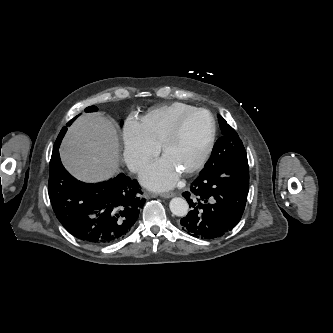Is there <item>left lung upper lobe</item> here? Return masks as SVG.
<instances>
[{"instance_id":"left-lung-upper-lobe-1","label":"left lung upper lobe","mask_w":333,"mask_h":333,"mask_svg":"<svg viewBox=\"0 0 333 333\" xmlns=\"http://www.w3.org/2000/svg\"><path fill=\"white\" fill-rule=\"evenodd\" d=\"M221 137L217 140L212 154L205 167L224 164L228 160L245 157L246 151L236 131L230 127L226 120L218 115Z\"/></svg>"}]
</instances>
